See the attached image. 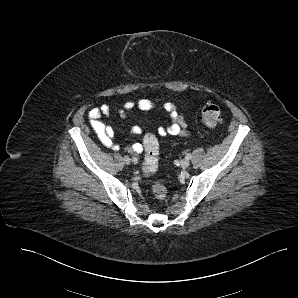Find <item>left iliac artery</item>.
<instances>
[{"label": "left iliac artery", "mask_w": 298, "mask_h": 298, "mask_svg": "<svg viewBox=\"0 0 298 298\" xmlns=\"http://www.w3.org/2000/svg\"><path fill=\"white\" fill-rule=\"evenodd\" d=\"M191 157H192L191 154L186 155V159H188V160L191 159Z\"/></svg>", "instance_id": "obj_1"}]
</instances>
